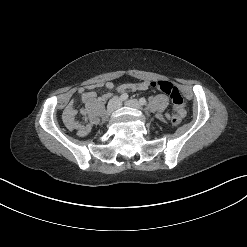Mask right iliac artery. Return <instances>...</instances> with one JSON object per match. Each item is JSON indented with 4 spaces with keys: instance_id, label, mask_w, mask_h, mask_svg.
<instances>
[{
    "instance_id": "82829eb1",
    "label": "right iliac artery",
    "mask_w": 247,
    "mask_h": 247,
    "mask_svg": "<svg viewBox=\"0 0 247 247\" xmlns=\"http://www.w3.org/2000/svg\"><path fill=\"white\" fill-rule=\"evenodd\" d=\"M127 99H128V94L127 93H123V94L120 95V100L121 101H125Z\"/></svg>"
}]
</instances>
